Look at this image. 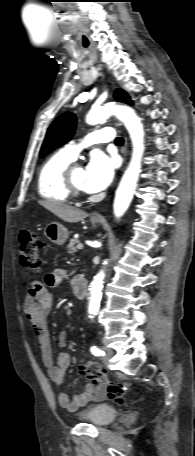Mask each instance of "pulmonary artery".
<instances>
[{"mask_svg":"<svg viewBox=\"0 0 195 456\" xmlns=\"http://www.w3.org/2000/svg\"><path fill=\"white\" fill-rule=\"evenodd\" d=\"M114 139V130L112 128H103L96 130L88 134L85 138V141L82 144H67L62 151L69 156L71 159H76L81 148L86 145L96 144V143H106Z\"/></svg>","mask_w":195,"mask_h":456,"instance_id":"e3ab8cb5","label":"pulmonary artery"}]
</instances>
